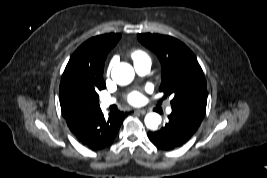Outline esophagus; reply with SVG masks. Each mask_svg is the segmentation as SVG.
I'll return each instance as SVG.
<instances>
[{
  "mask_svg": "<svg viewBox=\"0 0 267 178\" xmlns=\"http://www.w3.org/2000/svg\"><path fill=\"white\" fill-rule=\"evenodd\" d=\"M135 112H137L139 114H146L147 110H145V109H137Z\"/></svg>",
  "mask_w": 267,
  "mask_h": 178,
  "instance_id": "obj_1",
  "label": "esophagus"
}]
</instances>
